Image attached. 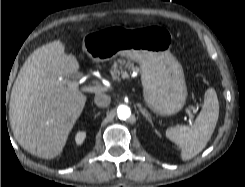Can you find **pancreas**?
Listing matches in <instances>:
<instances>
[{"label":"pancreas","mask_w":245,"mask_h":187,"mask_svg":"<svg viewBox=\"0 0 245 187\" xmlns=\"http://www.w3.org/2000/svg\"><path fill=\"white\" fill-rule=\"evenodd\" d=\"M126 69L135 73L139 72L140 70L137 66L134 65V63L119 59L118 61H115L111 67L110 73L112 78L117 81H120L121 78L124 79L125 74H127Z\"/></svg>","instance_id":"obj_1"}]
</instances>
